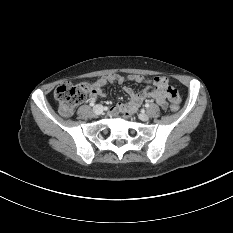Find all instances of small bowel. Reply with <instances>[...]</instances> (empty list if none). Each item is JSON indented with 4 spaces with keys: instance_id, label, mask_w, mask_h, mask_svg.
Masks as SVG:
<instances>
[{
    "instance_id": "1",
    "label": "small bowel",
    "mask_w": 233,
    "mask_h": 233,
    "mask_svg": "<svg viewBox=\"0 0 233 233\" xmlns=\"http://www.w3.org/2000/svg\"><path fill=\"white\" fill-rule=\"evenodd\" d=\"M130 81L137 83L144 82V77L138 74H132L128 77ZM125 78L120 74H109L107 76L100 77L94 81L91 85V100L105 97L104 87L107 83H123ZM151 86L147 87L140 92H135L130 87H124V92L129 96L127 103H117L111 110V114L116 112H123L126 117L134 114L141 106L143 101L147 99H154L163 109L167 108V98L170 100L171 91L173 89L164 77H156L150 82Z\"/></svg>"
}]
</instances>
